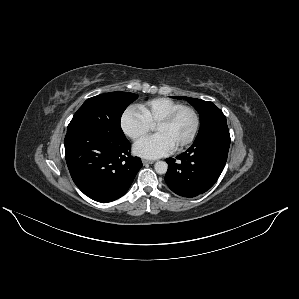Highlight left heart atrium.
<instances>
[{
  "label": "left heart atrium",
  "instance_id": "left-heart-atrium-1",
  "mask_svg": "<svg viewBox=\"0 0 299 299\" xmlns=\"http://www.w3.org/2000/svg\"><path fill=\"white\" fill-rule=\"evenodd\" d=\"M174 148L165 135L155 134L137 142L134 146V152L144 158L156 159L167 155Z\"/></svg>",
  "mask_w": 299,
  "mask_h": 299
}]
</instances>
